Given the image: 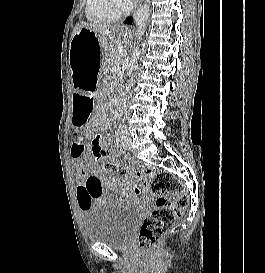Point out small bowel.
I'll return each instance as SVG.
<instances>
[{"label":"small bowel","instance_id":"1","mask_svg":"<svg viewBox=\"0 0 265 273\" xmlns=\"http://www.w3.org/2000/svg\"><path fill=\"white\" fill-rule=\"evenodd\" d=\"M88 95L89 92H86V95H73L74 103L70 105V123L74 124V128H80L74 132L71 138V156L78 173L79 184L76 199L82 211L94 205L110 203V200L104 199L105 195H102L104 188L108 192L116 194L119 201L125 198L129 188L127 177L112 173V177L107 179L101 167L92 165L93 160L87 153L85 135L95 130L93 125L86 124L88 108H93V103L89 102H94V97ZM103 194H106V191H103Z\"/></svg>","mask_w":265,"mask_h":273}]
</instances>
